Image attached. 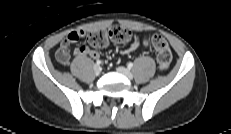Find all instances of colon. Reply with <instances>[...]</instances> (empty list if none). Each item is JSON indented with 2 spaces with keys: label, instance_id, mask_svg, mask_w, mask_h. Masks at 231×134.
<instances>
[{
  "label": "colon",
  "instance_id": "1",
  "mask_svg": "<svg viewBox=\"0 0 231 134\" xmlns=\"http://www.w3.org/2000/svg\"><path fill=\"white\" fill-rule=\"evenodd\" d=\"M131 39V32L123 26L115 25L108 30H95L88 34L89 43L94 47H104L109 41L117 44H126ZM151 42L156 50V58L161 70L169 68L172 61V52L167 41L159 34L151 37Z\"/></svg>",
  "mask_w": 231,
  "mask_h": 134
}]
</instances>
